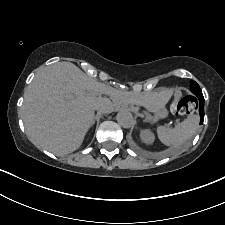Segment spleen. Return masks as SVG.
I'll return each instance as SVG.
<instances>
[{"mask_svg":"<svg viewBox=\"0 0 225 225\" xmlns=\"http://www.w3.org/2000/svg\"><path fill=\"white\" fill-rule=\"evenodd\" d=\"M199 118L197 115H190L183 122L178 123L174 128L158 126L157 135L159 140L166 146L177 147L190 139L197 130Z\"/></svg>","mask_w":225,"mask_h":225,"instance_id":"1","label":"spleen"}]
</instances>
